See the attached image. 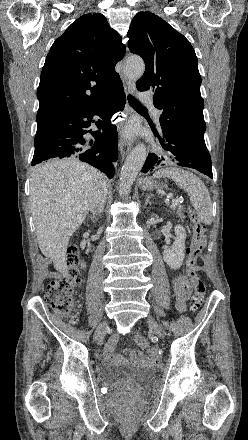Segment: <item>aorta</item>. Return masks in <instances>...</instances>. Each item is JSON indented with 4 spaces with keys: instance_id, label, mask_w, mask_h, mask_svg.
Here are the masks:
<instances>
[{
    "instance_id": "aorta-1",
    "label": "aorta",
    "mask_w": 248,
    "mask_h": 440,
    "mask_svg": "<svg viewBox=\"0 0 248 440\" xmlns=\"http://www.w3.org/2000/svg\"><path fill=\"white\" fill-rule=\"evenodd\" d=\"M145 71V64L140 57H129L124 62L125 75L133 80L140 79ZM147 157L144 144H138L127 157L119 177V194L122 198H127L131 186L141 171Z\"/></svg>"
}]
</instances>
